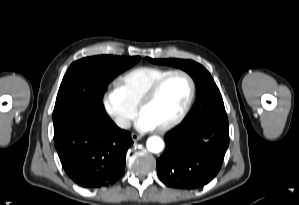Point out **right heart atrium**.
<instances>
[{
	"instance_id": "obj_1",
	"label": "right heart atrium",
	"mask_w": 299,
	"mask_h": 205,
	"mask_svg": "<svg viewBox=\"0 0 299 205\" xmlns=\"http://www.w3.org/2000/svg\"><path fill=\"white\" fill-rule=\"evenodd\" d=\"M102 106L115 125L121 129L128 128L137 114L136 107L125 98L117 85L104 91Z\"/></svg>"
}]
</instances>
